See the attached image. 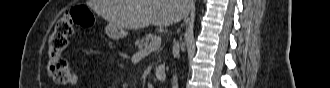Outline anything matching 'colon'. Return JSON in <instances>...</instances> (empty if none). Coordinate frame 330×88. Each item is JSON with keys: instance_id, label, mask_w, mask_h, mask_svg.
<instances>
[{"instance_id": "colon-1", "label": "colon", "mask_w": 330, "mask_h": 88, "mask_svg": "<svg viewBox=\"0 0 330 88\" xmlns=\"http://www.w3.org/2000/svg\"><path fill=\"white\" fill-rule=\"evenodd\" d=\"M93 21L91 12L82 5L72 7L57 20L48 39L47 51V73L54 82L62 85H72L76 82V73L63 57V52L69 45V37L73 34L74 25L88 28Z\"/></svg>"}]
</instances>
